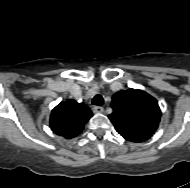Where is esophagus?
Instances as JSON below:
<instances>
[{
	"instance_id": "obj_1",
	"label": "esophagus",
	"mask_w": 190,
	"mask_h": 188,
	"mask_svg": "<svg viewBox=\"0 0 190 188\" xmlns=\"http://www.w3.org/2000/svg\"><path fill=\"white\" fill-rule=\"evenodd\" d=\"M93 111L95 113H103L104 112V108L103 107H100V106H94L93 107Z\"/></svg>"
}]
</instances>
